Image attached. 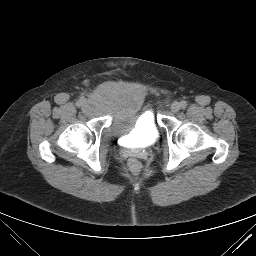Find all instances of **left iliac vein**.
<instances>
[{
    "instance_id": "1",
    "label": "left iliac vein",
    "mask_w": 256,
    "mask_h": 256,
    "mask_svg": "<svg viewBox=\"0 0 256 256\" xmlns=\"http://www.w3.org/2000/svg\"><path fill=\"white\" fill-rule=\"evenodd\" d=\"M180 107L181 106H180V104L178 102H174L171 105V111L176 113V112H178L180 110Z\"/></svg>"
}]
</instances>
